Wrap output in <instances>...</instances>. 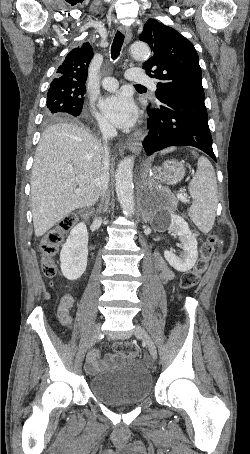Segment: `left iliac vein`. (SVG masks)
Here are the masks:
<instances>
[{
  "label": "left iliac vein",
  "mask_w": 250,
  "mask_h": 454,
  "mask_svg": "<svg viewBox=\"0 0 250 454\" xmlns=\"http://www.w3.org/2000/svg\"><path fill=\"white\" fill-rule=\"evenodd\" d=\"M134 334H135L136 337H138V338L143 340V342L146 344V346H147V348H148L153 360H156L157 359L156 346H155L152 338L147 333V331L142 326H140L139 324H136L135 325V329H134Z\"/></svg>",
  "instance_id": "4c4485c4"
}]
</instances>
